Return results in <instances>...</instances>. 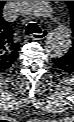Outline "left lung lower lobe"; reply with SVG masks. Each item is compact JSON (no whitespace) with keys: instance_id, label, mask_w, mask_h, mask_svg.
I'll list each match as a JSON object with an SVG mask.
<instances>
[{"instance_id":"0a47b994","label":"left lung lower lobe","mask_w":74,"mask_h":122,"mask_svg":"<svg viewBox=\"0 0 74 122\" xmlns=\"http://www.w3.org/2000/svg\"><path fill=\"white\" fill-rule=\"evenodd\" d=\"M52 61L59 69L63 70L64 72L74 74V60L62 56L56 59L53 58Z\"/></svg>"}]
</instances>
